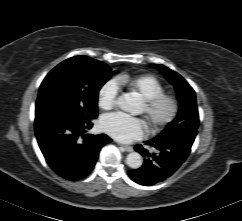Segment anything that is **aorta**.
I'll list each match as a JSON object with an SVG mask.
<instances>
[{
    "label": "aorta",
    "mask_w": 242,
    "mask_h": 221,
    "mask_svg": "<svg viewBox=\"0 0 242 221\" xmlns=\"http://www.w3.org/2000/svg\"><path fill=\"white\" fill-rule=\"evenodd\" d=\"M117 104L123 111L133 112L137 107V100L134 96L126 94L118 98ZM142 163V156L138 152H131L126 157V164L133 169L140 168Z\"/></svg>",
    "instance_id": "762f6f07"
}]
</instances>
